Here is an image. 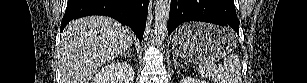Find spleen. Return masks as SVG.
Wrapping results in <instances>:
<instances>
[{
    "label": "spleen",
    "mask_w": 307,
    "mask_h": 83,
    "mask_svg": "<svg viewBox=\"0 0 307 83\" xmlns=\"http://www.w3.org/2000/svg\"><path fill=\"white\" fill-rule=\"evenodd\" d=\"M223 67H217L213 61L200 63L198 73L214 83H242L241 64L237 55L224 58Z\"/></svg>",
    "instance_id": "3e777b00"
}]
</instances>
